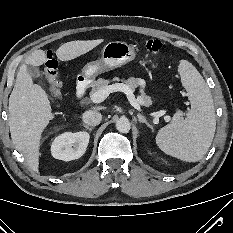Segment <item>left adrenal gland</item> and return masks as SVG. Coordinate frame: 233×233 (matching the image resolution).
Here are the masks:
<instances>
[{"mask_svg":"<svg viewBox=\"0 0 233 233\" xmlns=\"http://www.w3.org/2000/svg\"><path fill=\"white\" fill-rule=\"evenodd\" d=\"M137 118L139 120L140 123L145 124L147 127H149L150 129H152V126L147 122L146 118L141 115L140 113L137 114Z\"/></svg>","mask_w":233,"mask_h":233,"instance_id":"1","label":"left adrenal gland"}]
</instances>
